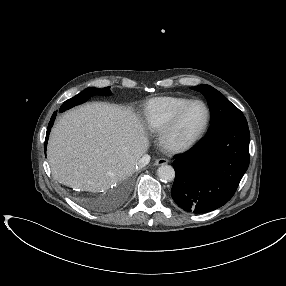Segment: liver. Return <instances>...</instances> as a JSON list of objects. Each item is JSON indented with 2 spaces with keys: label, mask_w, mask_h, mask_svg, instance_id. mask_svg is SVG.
<instances>
[{
  "label": "liver",
  "mask_w": 286,
  "mask_h": 286,
  "mask_svg": "<svg viewBox=\"0 0 286 286\" xmlns=\"http://www.w3.org/2000/svg\"><path fill=\"white\" fill-rule=\"evenodd\" d=\"M148 146L131 110L93 102L59 119L50 134L47 156L56 180L101 192L130 176Z\"/></svg>",
  "instance_id": "obj_1"
}]
</instances>
